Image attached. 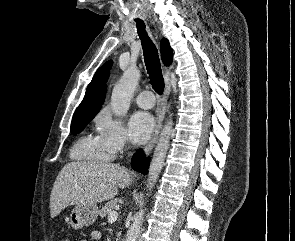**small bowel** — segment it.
<instances>
[{
	"instance_id": "c3829d8e",
	"label": "small bowel",
	"mask_w": 295,
	"mask_h": 241,
	"mask_svg": "<svg viewBox=\"0 0 295 241\" xmlns=\"http://www.w3.org/2000/svg\"><path fill=\"white\" fill-rule=\"evenodd\" d=\"M90 238L92 240H99L101 238V233L99 231H92L90 233ZM65 241H67V240H65ZM84 241H87V240H84Z\"/></svg>"
}]
</instances>
